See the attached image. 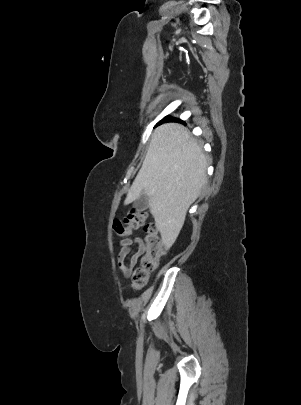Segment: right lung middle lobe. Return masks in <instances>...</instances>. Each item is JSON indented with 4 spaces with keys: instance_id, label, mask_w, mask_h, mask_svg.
<instances>
[{
    "instance_id": "obj_1",
    "label": "right lung middle lobe",
    "mask_w": 301,
    "mask_h": 405,
    "mask_svg": "<svg viewBox=\"0 0 301 405\" xmlns=\"http://www.w3.org/2000/svg\"><path fill=\"white\" fill-rule=\"evenodd\" d=\"M168 118V116L167 117H165L163 120H166Z\"/></svg>"
}]
</instances>
